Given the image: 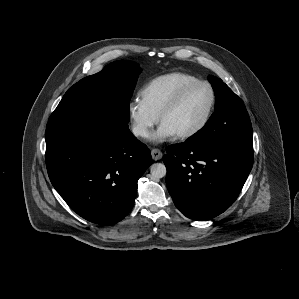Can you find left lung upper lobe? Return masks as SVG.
I'll return each mask as SVG.
<instances>
[{
	"instance_id": "obj_1",
	"label": "left lung upper lobe",
	"mask_w": 299,
	"mask_h": 299,
	"mask_svg": "<svg viewBox=\"0 0 299 299\" xmlns=\"http://www.w3.org/2000/svg\"><path fill=\"white\" fill-rule=\"evenodd\" d=\"M215 92V111L205 126L187 139L197 144H253L252 125L243 101L219 78L208 76Z\"/></svg>"
}]
</instances>
